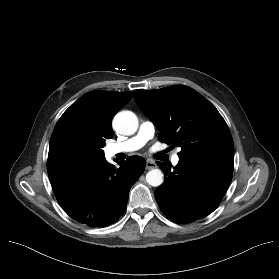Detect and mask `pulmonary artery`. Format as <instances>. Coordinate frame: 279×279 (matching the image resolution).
Instances as JSON below:
<instances>
[{"mask_svg": "<svg viewBox=\"0 0 279 279\" xmlns=\"http://www.w3.org/2000/svg\"><path fill=\"white\" fill-rule=\"evenodd\" d=\"M155 133V125L151 121H143L139 127L138 132L121 142H116L110 144L106 148V153L108 156L112 157L119 153H128L139 150L142 148L150 139L153 138ZM178 153H174L171 157V162L173 165L179 163Z\"/></svg>", "mask_w": 279, "mask_h": 279, "instance_id": "e3ab8cb5", "label": "pulmonary artery"}]
</instances>
